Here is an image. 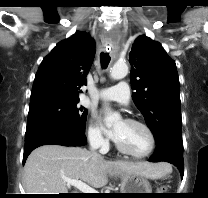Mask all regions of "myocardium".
Here are the masks:
<instances>
[{"mask_svg":"<svg viewBox=\"0 0 208 198\" xmlns=\"http://www.w3.org/2000/svg\"><path fill=\"white\" fill-rule=\"evenodd\" d=\"M125 121L130 124L137 125V126L141 127L142 129H144L149 137L150 145H149V149L146 152L141 153V154H137V153H134V152L128 150L127 148H125L123 145H121L119 142H117L115 140V146L118 149V151H120L121 153L128 155L132 158H136V159H143V158L150 156L156 148V137H155L153 130L146 123H144L140 120L134 119V118H127V119H125Z\"/></svg>","mask_w":208,"mask_h":198,"instance_id":"f54148a6","label":"myocardium"}]
</instances>
